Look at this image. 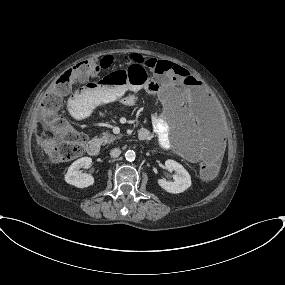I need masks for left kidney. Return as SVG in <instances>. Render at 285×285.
I'll return each mask as SVG.
<instances>
[{"label": "left kidney", "mask_w": 285, "mask_h": 285, "mask_svg": "<svg viewBox=\"0 0 285 285\" xmlns=\"http://www.w3.org/2000/svg\"><path fill=\"white\" fill-rule=\"evenodd\" d=\"M165 167L169 172L175 171L173 175L174 181H167L166 179H158V184L161 188L169 193H181L191 186V177L187 170L178 162L168 159L165 161Z\"/></svg>", "instance_id": "5707ae66"}]
</instances>
